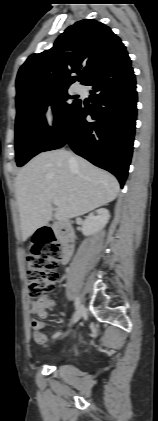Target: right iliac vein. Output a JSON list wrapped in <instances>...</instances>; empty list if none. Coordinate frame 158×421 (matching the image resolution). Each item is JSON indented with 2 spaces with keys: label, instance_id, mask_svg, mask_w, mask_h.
Instances as JSON below:
<instances>
[{
  "label": "right iliac vein",
  "instance_id": "63e3f726",
  "mask_svg": "<svg viewBox=\"0 0 158 421\" xmlns=\"http://www.w3.org/2000/svg\"><path fill=\"white\" fill-rule=\"evenodd\" d=\"M83 312H84V306L83 305H80L77 308V310H76V312H75V314L73 316V323H76V322H78L80 320V318L83 315Z\"/></svg>",
  "mask_w": 158,
  "mask_h": 421
}]
</instances>
